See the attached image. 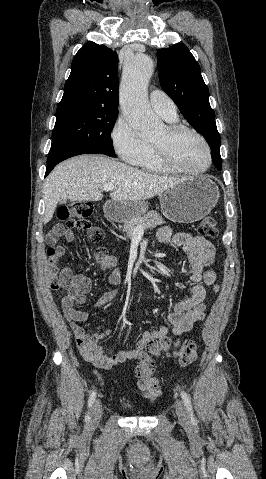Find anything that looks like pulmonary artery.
I'll list each match as a JSON object with an SVG mask.
<instances>
[{
	"mask_svg": "<svg viewBox=\"0 0 266 479\" xmlns=\"http://www.w3.org/2000/svg\"><path fill=\"white\" fill-rule=\"evenodd\" d=\"M149 101L152 109L164 119H175L177 109L172 99L163 91L155 89L150 92Z\"/></svg>",
	"mask_w": 266,
	"mask_h": 479,
	"instance_id": "1",
	"label": "pulmonary artery"
}]
</instances>
